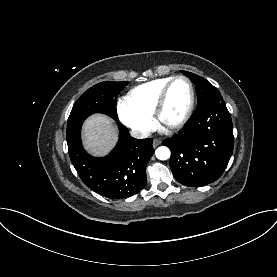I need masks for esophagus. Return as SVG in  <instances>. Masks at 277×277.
I'll use <instances>...</instances> for the list:
<instances>
[{"mask_svg": "<svg viewBox=\"0 0 277 277\" xmlns=\"http://www.w3.org/2000/svg\"><path fill=\"white\" fill-rule=\"evenodd\" d=\"M161 144V140L160 139H154L153 140V147L156 148L157 146H159Z\"/></svg>", "mask_w": 277, "mask_h": 277, "instance_id": "1", "label": "esophagus"}]
</instances>
